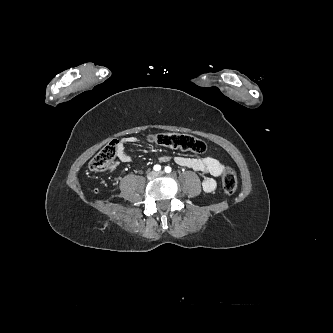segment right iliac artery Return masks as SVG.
<instances>
[{"mask_svg":"<svg viewBox=\"0 0 333 333\" xmlns=\"http://www.w3.org/2000/svg\"><path fill=\"white\" fill-rule=\"evenodd\" d=\"M153 169H154L155 171H160V170H161V166L158 165V164H156V165H154Z\"/></svg>","mask_w":333,"mask_h":333,"instance_id":"1","label":"right iliac artery"}]
</instances>
